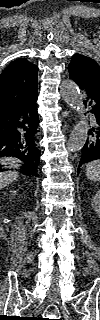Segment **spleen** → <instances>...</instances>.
I'll return each instance as SVG.
<instances>
[{
	"label": "spleen",
	"instance_id": "spleen-1",
	"mask_svg": "<svg viewBox=\"0 0 100 320\" xmlns=\"http://www.w3.org/2000/svg\"><path fill=\"white\" fill-rule=\"evenodd\" d=\"M86 176L91 181L100 180V161L95 160L86 165Z\"/></svg>",
	"mask_w": 100,
	"mask_h": 320
}]
</instances>
